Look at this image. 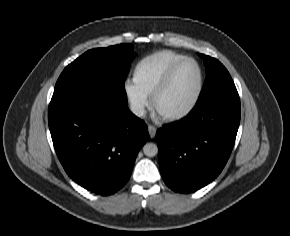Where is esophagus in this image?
<instances>
[{
    "instance_id": "esophagus-1",
    "label": "esophagus",
    "mask_w": 290,
    "mask_h": 236,
    "mask_svg": "<svg viewBox=\"0 0 290 236\" xmlns=\"http://www.w3.org/2000/svg\"><path fill=\"white\" fill-rule=\"evenodd\" d=\"M157 129L153 125H148V132L151 138L155 137Z\"/></svg>"
}]
</instances>
